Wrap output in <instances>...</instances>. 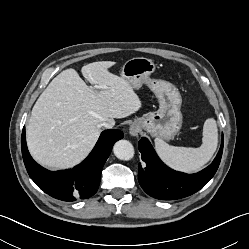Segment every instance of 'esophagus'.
Returning a JSON list of instances; mask_svg holds the SVG:
<instances>
[{"mask_svg":"<svg viewBox=\"0 0 249 249\" xmlns=\"http://www.w3.org/2000/svg\"><path fill=\"white\" fill-rule=\"evenodd\" d=\"M140 125L137 123H133L130 128H129V133L131 136H138L139 132H140Z\"/></svg>","mask_w":249,"mask_h":249,"instance_id":"1","label":"esophagus"}]
</instances>
